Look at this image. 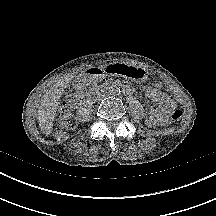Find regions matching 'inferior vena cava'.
<instances>
[{"label":"inferior vena cava","mask_w":216,"mask_h":216,"mask_svg":"<svg viewBox=\"0 0 216 216\" xmlns=\"http://www.w3.org/2000/svg\"><path fill=\"white\" fill-rule=\"evenodd\" d=\"M104 96H105V95H101V96H99V99L104 98Z\"/></svg>","instance_id":"inferior-vena-cava-1"}]
</instances>
